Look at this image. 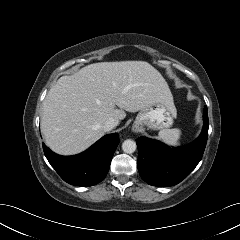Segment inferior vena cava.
<instances>
[{"label":"inferior vena cava","mask_w":240,"mask_h":240,"mask_svg":"<svg viewBox=\"0 0 240 240\" xmlns=\"http://www.w3.org/2000/svg\"><path fill=\"white\" fill-rule=\"evenodd\" d=\"M118 125V121L114 118H109L105 123L103 124V129L105 132L111 131L113 128H115Z\"/></svg>","instance_id":"inferior-vena-cava-1"}]
</instances>
